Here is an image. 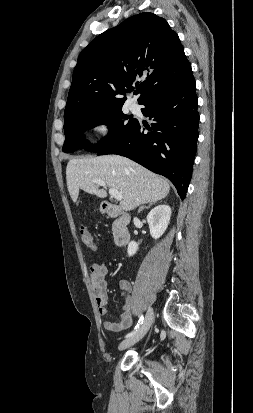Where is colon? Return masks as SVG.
I'll use <instances>...</instances> for the list:
<instances>
[{
    "instance_id": "1",
    "label": "colon",
    "mask_w": 253,
    "mask_h": 413,
    "mask_svg": "<svg viewBox=\"0 0 253 413\" xmlns=\"http://www.w3.org/2000/svg\"><path fill=\"white\" fill-rule=\"evenodd\" d=\"M79 236H80V240L82 244L85 247L89 249H93V250L96 249V245H95L92 235L90 234L89 230L83 225H81L80 227Z\"/></svg>"
}]
</instances>
